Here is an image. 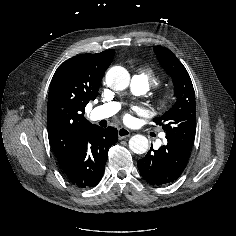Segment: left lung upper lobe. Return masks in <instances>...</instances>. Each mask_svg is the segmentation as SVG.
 I'll return each mask as SVG.
<instances>
[{"label":"left lung upper lobe","mask_w":236,"mask_h":236,"mask_svg":"<svg viewBox=\"0 0 236 236\" xmlns=\"http://www.w3.org/2000/svg\"><path fill=\"white\" fill-rule=\"evenodd\" d=\"M154 51L161 65L173 79L177 101L163 116L153 121L162 126L167 141L190 152L196 132L195 93L190 76L169 49L155 46Z\"/></svg>","instance_id":"5c2ea615"}]
</instances>
